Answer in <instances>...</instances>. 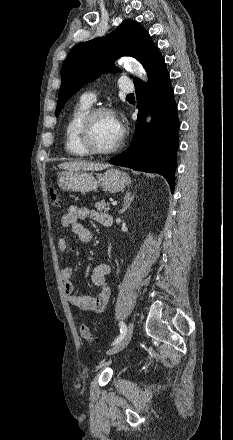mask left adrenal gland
I'll return each mask as SVG.
<instances>
[{
    "label": "left adrenal gland",
    "mask_w": 233,
    "mask_h": 440,
    "mask_svg": "<svg viewBox=\"0 0 233 440\" xmlns=\"http://www.w3.org/2000/svg\"><path fill=\"white\" fill-rule=\"evenodd\" d=\"M134 199V195H131V192H127L124 197V204L122 209L119 211V214L124 213L131 205Z\"/></svg>",
    "instance_id": "1"
}]
</instances>
